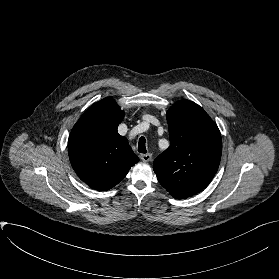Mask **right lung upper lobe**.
Masks as SVG:
<instances>
[{
	"mask_svg": "<svg viewBox=\"0 0 279 279\" xmlns=\"http://www.w3.org/2000/svg\"><path fill=\"white\" fill-rule=\"evenodd\" d=\"M124 112L114 99L91 106L73 127L68 140L71 165L87 185L107 191L118 184L139 158L117 132Z\"/></svg>",
	"mask_w": 279,
	"mask_h": 279,
	"instance_id": "cb5924a9",
	"label": "right lung upper lobe"
}]
</instances>
